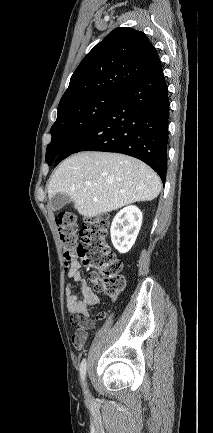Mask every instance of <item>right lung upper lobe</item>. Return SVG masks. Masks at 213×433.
<instances>
[{
	"label": "right lung upper lobe",
	"instance_id": "obj_1",
	"mask_svg": "<svg viewBox=\"0 0 213 433\" xmlns=\"http://www.w3.org/2000/svg\"><path fill=\"white\" fill-rule=\"evenodd\" d=\"M158 60L156 49L143 32L116 28L81 61L58 107L99 93L122 95Z\"/></svg>",
	"mask_w": 213,
	"mask_h": 433
}]
</instances>
